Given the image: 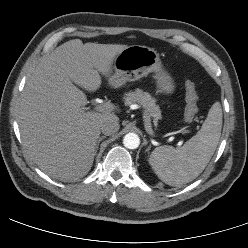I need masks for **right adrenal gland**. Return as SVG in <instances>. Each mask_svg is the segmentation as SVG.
<instances>
[{
  "label": "right adrenal gland",
  "mask_w": 248,
  "mask_h": 248,
  "mask_svg": "<svg viewBox=\"0 0 248 248\" xmlns=\"http://www.w3.org/2000/svg\"><path fill=\"white\" fill-rule=\"evenodd\" d=\"M105 138H106V136H101V137H99V139H98V141H97V144H96V151H95V154L97 153V150H98V147H99L100 142H101L103 139H105Z\"/></svg>",
  "instance_id": "right-adrenal-gland-1"
}]
</instances>
